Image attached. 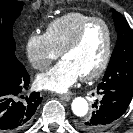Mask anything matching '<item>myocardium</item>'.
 Returning a JSON list of instances; mask_svg holds the SVG:
<instances>
[{"instance_id":"1","label":"myocardium","mask_w":133,"mask_h":133,"mask_svg":"<svg viewBox=\"0 0 133 133\" xmlns=\"http://www.w3.org/2000/svg\"><path fill=\"white\" fill-rule=\"evenodd\" d=\"M94 23H99L105 28L106 34H107L106 47H105V52H104L103 58H102L100 64L98 65V67L94 71H92L86 75H82L81 79L83 81H91V80L97 79L100 75L103 74V72L108 67V64H109L110 58H111V54H112V46H113V32H112V29H111V26L109 25V23L99 17L90 18L89 20L85 21L80 26V28L77 30V32L74 34V36L71 38V40L61 50V56L64 57L68 52L75 49L80 44L86 30Z\"/></svg>"}]
</instances>
